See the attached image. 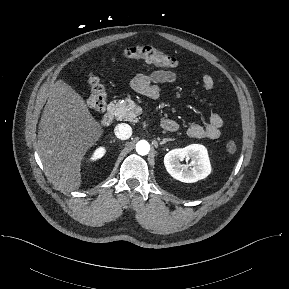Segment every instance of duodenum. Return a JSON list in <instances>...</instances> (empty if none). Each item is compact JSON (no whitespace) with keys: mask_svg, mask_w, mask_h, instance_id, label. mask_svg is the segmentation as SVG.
<instances>
[{"mask_svg":"<svg viewBox=\"0 0 289 289\" xmlns=\"http://www.w3.org/2000/svg\"><path fill=\"white\" fill-rule=\"evenodd\" d=\"M113 119H114V112H113V108L110 107V108H108V110L103 114V116H102V118H101V123H102V125H104V126H109V125H111V123L113 122ZM164 125H167V126H169L170 128H172V129L176 128V125H175V123H173V122L165 121V122H164Z\"/></svg>","mask_w":289,"mask_h":289,"instance_id":"410a0bca","label":"duodenum"}]
</instances>
